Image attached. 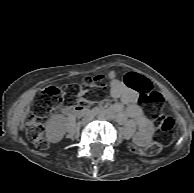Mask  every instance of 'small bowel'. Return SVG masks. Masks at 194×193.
<instances>
[{
	"label": "small bowel",
	"instance_id": "c3829d8e",
	"mask_svg": "<svg viewBox=\"0 0 194 193\" xmlns=\"http://www.w3.org/2000/svg\"><path fill=\"white\" fill-rule=\"evenodd\" d=\"M109 78L110 94L121 102V105L115 104L113 107L117 120L125 122L127 118H131L138 126L137 143L141 145L147 144L152 135L153 128L142 108L136 103L138 91L128 86L125 81L117 79L116 74L113 72L109 74Z\"/></svg>",
	"mask_w": 194,
	"mask_h": 193
}]
</instances>
